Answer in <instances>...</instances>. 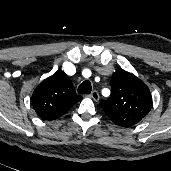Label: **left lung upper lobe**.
<instances>
[{"label":"left lung upper lobe","instance_id":"obj_1","mask_svg":"<svg viewBox=\"0 0 171 171\" xmlns=\"http://www.w3.org/2000/svg\"><path fill=\"white\" fill-rule=\"evenodd\" d=\"M111 87L112 96L99 105L116 125L132 127L149 113L150 90L135 75L119 69L112 76Z\"/></svg>","mask_w":171,"mask_h":171}]
</instances>
